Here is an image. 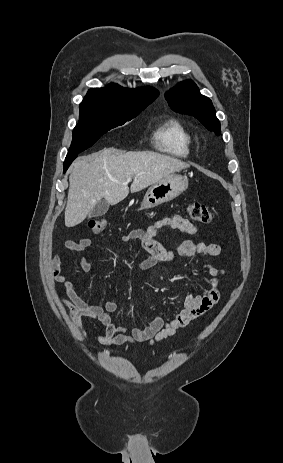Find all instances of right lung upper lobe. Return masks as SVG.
<instances>
[{
	"label": "right lung upper lobe",
	"instance_id": "cb5924a9",
	"mask_svg": "<svg viewBox=\"0 0 283 463\" xmlns=\"http://www.w3.org/2000/svg\"><path fill=\"white\" fill-rule=\"evenodd\" d=\"M158 95L159 92L152 87L128 89L114 84L106 88L90 89L84 100L149 105Z\"/></svg>",
	"mask_w": 283,
	"mask_h": 463
}]
</instances>
